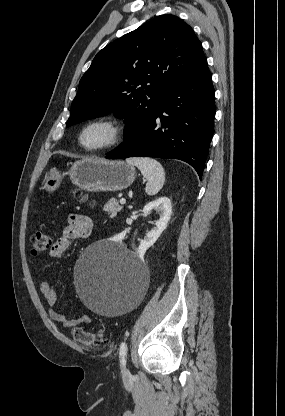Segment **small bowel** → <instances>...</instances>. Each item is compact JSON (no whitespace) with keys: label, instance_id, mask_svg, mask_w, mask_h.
<instances>
[{"label":"small bowel","instance_id":"1","mask_svg":"<svg viewBox=\"0 0 285 416\" xmlns=\"http://www.w3.org/2000/svg\"><path fill=\"white\" fill-rule=\"evenodd\" d=\"M93 229L92 220L82 214H72L68 219V225L62 231L60 238L52 243L49 248V255L53 258H60L74 240L88 238ZM40 291L49 305L48 315L51 321L60 323L65 328L76 327L81 324H88L90 317L81 314L76 318H67L54 309L58 302V294L55 289L45 279L40 282Z\"/></svg>","mask_w":285,"mask_h":416}]
</instances>
